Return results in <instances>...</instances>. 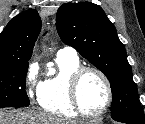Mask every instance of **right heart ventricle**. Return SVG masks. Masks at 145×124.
Segmentation results:
<instances>
[{
	"label": "right heart ventricle",
	"mask_w": 145,
	"mask_h": 124,
	"mask_svg": "<svg viewBox=\"0 0 145 124\" xmlns=\"http://www.w3.org/2000/svg\"><path fill=\"white\" fill-rule=\"evenodd\" d=\"M58 72L46 78L38 95L39 107L52 116L73 118L78 116L69 96V79L71 74L81 67L77 58L57 56Z\"/></svg>",
	"instance_id": "obj_1"
}]
</instances>
